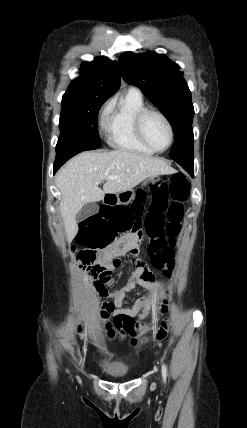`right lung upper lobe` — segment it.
<instances>
[{
	"instance_id": "right-lung-upper-lobe-1",
	"label": "right lung upper lobe",
	"mask_w": 247,
	"mask_h": 428,
	"mask_svg": "<svg viewBox=\"0 0 247 428\" xmlns=\"http://www.w3.org/2000/svg\"><path fill=\"white\" fill-rule=\"evenodd\" d=\"M120 87V73L115 61L97 57L84 62L81 76L71 82L64 95L86 93L111 97Z\"/></svg>"
}]
</instances>
